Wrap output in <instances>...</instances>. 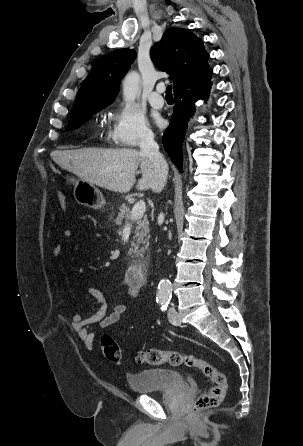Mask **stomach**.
I'll return each instance as SVG.
<instances>
[{"label": "stomach", "instance_id": "1", "mask_svg": "<svg viewBox=\"0 0 303 446\" xmlns=\"http://www.w3.org/2000/svg\"><path fill=\"white\" fill-rule=\"evenodd\" d=\"M66 183L74 186V198L79 204L93 209L105 206L103 194L94 184L71 175L66 176Z\"/></svg>", "mask_w": 303, "mask_h": 446}]
</instances>
